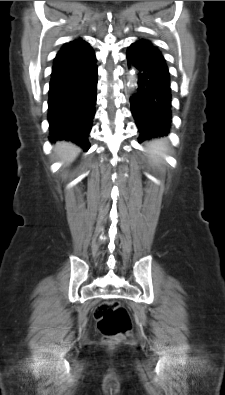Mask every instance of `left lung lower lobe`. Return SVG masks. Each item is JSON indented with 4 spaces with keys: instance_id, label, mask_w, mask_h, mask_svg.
<instances>
[{
    "instance_id": "1",
    "label": "left lung lower lobe",
    "mask_w": 225,
    "mask_h": 395,
    "mask_svg": "<svg viewBox=\"0 0 225 395\" xmlns=\"http://www.w3.org/2000/svg\"><path fill=\"white\" fill-rule=\"evenodd\" d=\"M126 56L128 66L135 68L138 78V88L130 98V104L140 132L139 143L168 135L172 96L166 62L139 60L129 50Z\"/></svg>"
}]
</instances>
